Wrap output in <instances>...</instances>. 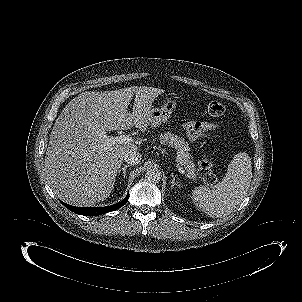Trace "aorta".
Returning a JSON list of instances; mask_svg holds the SVG:
<instances>
[{"mask_svg":"<svg viewBox=\"0 0 302 302\" xmlns=\"http://www.w3.org/2000/svg\"><path fill=\"white\" fill-rule=\"evenodd\" d=\"M145 176L148 181L157 182L161 179V172L158 168L151 167L147 169Z\"/></svg>","mask_w":302,"mask_h":302,"instance_id":"1","label":"aorta"}]
</instances>
